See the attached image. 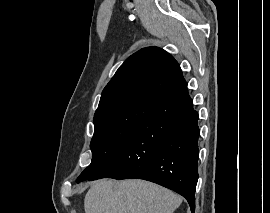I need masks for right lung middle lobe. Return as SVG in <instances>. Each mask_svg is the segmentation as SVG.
<instances>
[{
	"mask_svg": "<svg viewBox=\"0 0 270 213\" xmlns=\"http://www.w3.org/2000/svg\"><path fill=\"white\" fill-rule=\"evenodd\" d=\"M156 105L145 101L131 102L94 117V135L90 144L92 161L77 182L99 173Z\"/></svg>",
	"mask_w": 270,
	"mask_h": 213,
	"instance_id": "dd1d6c3e",
	"label": "right lung middle lobe"
}]
</instances>
